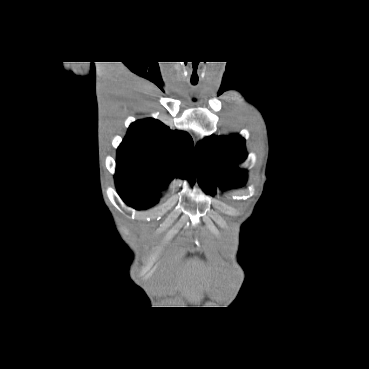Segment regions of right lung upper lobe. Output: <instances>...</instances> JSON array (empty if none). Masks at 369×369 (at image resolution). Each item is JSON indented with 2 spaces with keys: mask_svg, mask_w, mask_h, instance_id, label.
Listing matches in <instances>:
<instances>
[{
  "mask_svg": "<svg viewBox=\"0 0 369 369\" xmlns=\"http://www.w3.org/2000/svg\"><path fill=\"white\" fill-rule=\"evenodd\" d=\"M115 180L132 191L159 196L174 177L195 182L194 146L191 136L172 131L156 119H143L129 126L117 150Z\"/></svg>",
  "mask_w": 369,
  "mask_h": 369,
  "instance_id": "1",
  "label": "right lung upper lobe"
}]
</instances>
